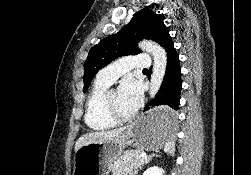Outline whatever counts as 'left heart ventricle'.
Segmentation results:
<instances>
[{"mask_svg":"<svg viewBox=\"0 0 251 175\" xmlns=\"http://www.w3.org/2000/svg\"><path fill=\"white\" fill-rule=\"evenodd\" d=\"M111 109L118 114L128 115L129 113L122 107L118 97V90H113L109 96Z\"/></svg>","mask_w":251,"mask_h":175,"instance_id":"obj_1","label":"left heart ventricle"}]
</instances>
